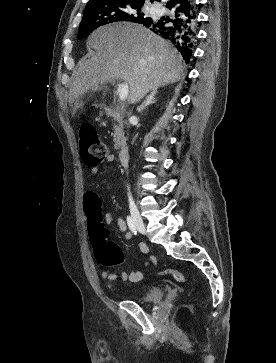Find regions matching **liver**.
I'll return each mask as SVG.
<instances>
[{
    "instance_id": "6515ba94",
    "label": "liver",
    "mask_w": 276,
    "mask_h": 363,
    "mask_svg": "<svg viewBox=\"0 0 276 363\" xmlns=\"http://www.w3.org/2000/svg\"><path fill=\"white\" fill-rule=\"evenodd\" d=\"M96 53L80 60L70 87L74 114L83 106L77 99L90 89L112 80L129 86L128 102L140 101L149 91L179 81L185 65L181 55L150 29L134 23L98 28L87 41ZM105 95V93L103 94Z\"/></svg>"
}]
</instances>
